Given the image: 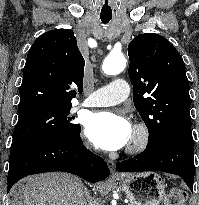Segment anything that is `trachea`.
Returning <instances> with one entry per match:
<instances>
[{
  "label": "trachea",
  "mask_w": 199,
  "mask_h": 205,
  "mask_svg": "<svg viewBox=\"0 0 199 205\" xmlns=\"http://www.w3.org/2000/svg\"><path fill=\"white\" fill-rule=\"evenodd\" d=\"M100 18H101V21H102L104 24L108 23V22L111 20V17H103V16H101Z\"/></svg>",
  "instance_id": "3493384b"
}]
</instances>
